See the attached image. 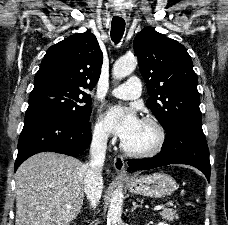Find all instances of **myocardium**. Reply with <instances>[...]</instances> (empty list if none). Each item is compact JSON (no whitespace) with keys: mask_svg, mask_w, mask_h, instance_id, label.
Listing matches in <instances>:
<instances>
[{"mask_svg":"<svg viewBox=\"0 0 228 225\" xmlns=\"http://www.w3.org/2000/svg\"><path fill=\"white\" fill-rule=\"evenodd\" d=\"M142 123L153 127L157 133V142L156 144L149 149H137L130 147L126 142L122 143V149L129 155L138 156V157H152L159 154L166 143V132L163 125L154 118L146 117L142 120Z\"/></svg>","mask_w":228,"mask_h":225,"instance_id":"1","label":"myocardium"}]
</instances>
